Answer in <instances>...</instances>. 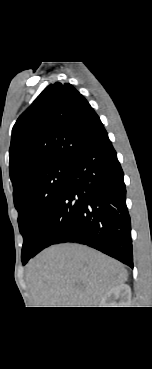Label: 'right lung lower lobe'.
I'll return each mask as SVG.
<instances>
[{
    "instance_id": "right-lung-lower-lobe-1",
    "label": "right lung lower lobe",
    "mask_w": 152,
    "mask_h": 369,
    "mask_svg": "<svg viewBox=\"0 0 152 369\" xmlns=\"http://www.w3.org/2000/svg\"><path fill=\"white\" fill-rule=\"evenodd\" d=\"M64 242L88 245L133 268L124 174L106 131L70 161L65 186L30 258Z\"/></svg>"
}]
</instances>
